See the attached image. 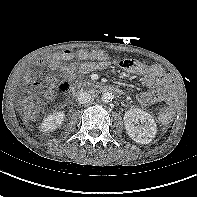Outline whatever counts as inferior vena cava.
I'll list each match as a JSON object with an SVG mask.
<instances>
[{
    "label": "inferior vena cava",
    "mask_w": 197,
    "mask_h": 197,
    "mask_svg": "<svg viewBox=\"0 0 197 197\" xmlns=\"http://www.w3.org/2000/svg\"><path fill=\"white\" fill-rule=\"evenodd\" d=\"M90 100H91V95H90L89 93L81 92V93L78 95V102H79L80 104H86V103H88Z\"/></svg>",
    "instance_id": "inferior-vena-cava-1"
}]
</instances>
